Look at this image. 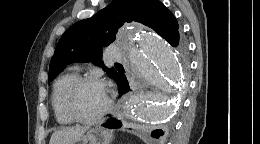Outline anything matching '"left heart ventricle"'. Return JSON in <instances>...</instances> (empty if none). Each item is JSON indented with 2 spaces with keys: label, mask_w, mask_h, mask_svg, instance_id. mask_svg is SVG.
I'll use <instances>...</instances> for the list:
<instances>
[{
  "label": "left heart ventricle",
  "mask_w": 260,
  "mask_h": 144,
  "mask_svg": "<svg viewBox=\"0 0 260 144\" xmlns=\"http://www.w3.org/2000/svg\"><path fill=\"white\" fill-rule=\"evenodd\" d=\"M107 102V93L103 86L96 83L85 84L78 92L74 107L83 117H93L100 113Z\"/></svg>",
  "instance_id": "obj_1"
}]
</instances>
